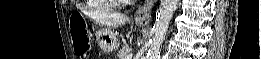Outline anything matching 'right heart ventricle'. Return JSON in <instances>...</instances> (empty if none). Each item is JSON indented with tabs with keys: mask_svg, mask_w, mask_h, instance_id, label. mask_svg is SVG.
I'll use <instances>...</instances> for the list:
<instances>
[{
	"mask_svg": "<svg viewBox=\"0 0 261 59\" xmlns=\"http://www.w3.org/2000/svg\"><path fill=\"white\" fill-rule=\"evenodd\" d=\"M97 2H99V4H101V5L103 4V5L107 6V7H113V5L111 4L110 1L101 0V1H97Z\"/></svg>",
	"mask_w": 261,
	"mask_h": 59,
	"instance_id": "1",
	"label": "right heart ventricle"
}]
</instances>
